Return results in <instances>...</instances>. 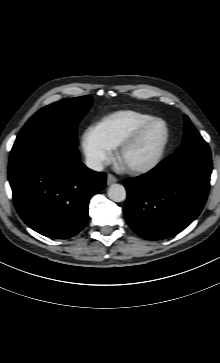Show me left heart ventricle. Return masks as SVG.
I'll return each mask as SVG.
<instances>
[{"instance_id": "obj_1", "label": "left heart ventricle", "mask_w": 220, "mask_h": 363, "mask_svg": "<svg viewBox=\"0 0 220 363\" xmlns=\"http://www.w3.org/2000/svg\"><path fill=\"white\" fill-rule=\"evenodd\" d=\"M165 134L164 125L156 123L122 156L124 166H133L149 161L158 150Z\"/></svg>"}]
</instances>
